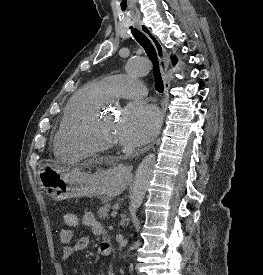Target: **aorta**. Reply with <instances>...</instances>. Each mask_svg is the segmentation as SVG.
<instances>
[{
	"label": "aorta",
	"instance_id": "obj_1",
	"mask_svg": "<svg viewBox=\"0 0 263 275\" xmlns=\"http://www.w3.org/2000/svg\"><path fill=\"white\" fill-rule=\"evenodd\" d=\"M126 70L131 75L139 76L148 73L151 70V66L143 58H131L126 64ZM155 164V154H148L136 170L131 193V214H134L143 202L154 173Z\"/></svg>",
	"mask_w": 263,
	"mask_h": 275
}]
</instances>
